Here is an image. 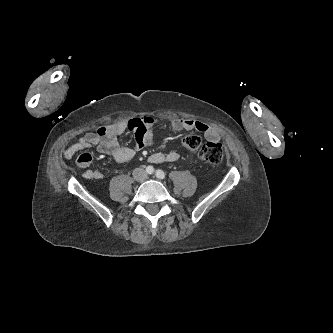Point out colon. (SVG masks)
Wrapping results in <instances>:
<instances>
[{
	"label": "colon",
	"instance_id": "1",
	"mask_svg": "<svg viewBox=\"0 0 333 333\" xmlns=\"http://www.w3.org/2000/svg\"><path fill=\"white\" fill-rule=\"evenodd\" d=\"M183 146L189 151L199 150L198 157L212 165L220 164L224 159L223 147L217 142L202 144L199 136L188 135L182 140Z\"/></svg>",
	"mask_w": 333,
	"mask_h": 333
}]
</instances>
